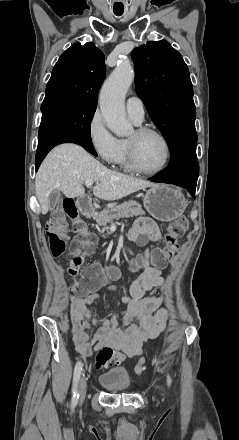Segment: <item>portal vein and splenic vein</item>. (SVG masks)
<instances>
[{
    "label": "portal vein and splenic vein",
    "mask_w": 239,
    "mask_h": 440,
    "mask_svg": "<svg viewBox=\"0 0 239 440\" xmlns=\"http://www.w3.org/2000/svg\"><path fill=\"white\" fill-rule=\"evenodd\" d=\"M92 184H94L93 180H86L85 182V186H87V188H89V186H92Z\"/></svg>",
    "instance_id": "18ae733b"
}]
</instances>
